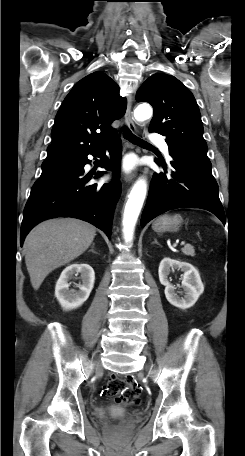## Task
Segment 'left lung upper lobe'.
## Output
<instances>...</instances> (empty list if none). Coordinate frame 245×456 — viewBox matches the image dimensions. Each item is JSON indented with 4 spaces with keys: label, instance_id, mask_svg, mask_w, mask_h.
Wrapping results in <instances>:
<instances>
[{
    "label": "left lung upper lobe",
    "instance_id": "obj_1",
    "mask_svg": "<svg viewBox=\"0 0 245 456\" xmlns=\"http://www.w3.org/2000/svg\"><path fill=\"white\" fill-rule=\"evenodd\" d=\"M136 100L154 109L150 132L166 136L170 147L209 160L197 102L182 82L168 74H154L139 88Z\"/></svg>",
    "mask_w": 245,
    "mask_h": 456
}]
</instances>
